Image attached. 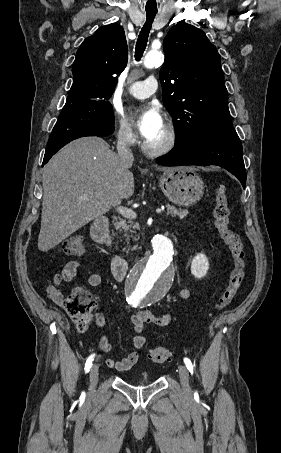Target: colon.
Wrapping results in <instances>:
<instances>
[{
	"instance_id": "colon-1",
	"label": "colon",
	"mask_w": 281,
	"mask_h": 453,
	"mask_svg": "<svg viewBox=\"0 0 281 453\" xmlns=\"http://www.w3.org/2000/svg\"><path fill=\"white\" fill-rule=\"evenodd\" d=\"M230 187L227 183H218L214 186L212 198L214 213V228L221 235L223 243L229 249L232 257V268L228 284L218 297L214 310L219 311L227 307L237 296L244 285L246 274V252L241 237L230 229L229 195ZM54 250L62 257H85L87 247L80 238H67L54 246ZM68 311L82 319L87 316V309L75 300L67 303ZM153 363H167L170 360L169 351L165 348H154L148 351Z\"/></svg>"
}]
</instances>
